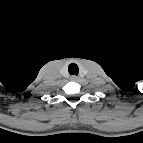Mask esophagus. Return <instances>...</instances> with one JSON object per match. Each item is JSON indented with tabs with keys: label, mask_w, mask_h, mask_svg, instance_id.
I'll use <instances>...</instances> for the list:
<instances>
[{
	"label": "esophagus",
	"mask_w": 143,
	"mask_h": 143,
	"mask_svg": "<svg viewBox=\"0 0 143 143\" xmlns=\"http://www.w3.org/2000/svg\"><path fill=\"white\" fill-rule=\"evenodd\" d=\"M72 81H78L79 77L76 75L71 76L70 78Z\"/></svg>",
	"instance_id": "1"
}]
</instances>
